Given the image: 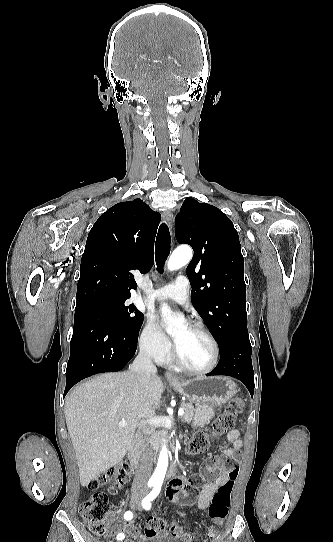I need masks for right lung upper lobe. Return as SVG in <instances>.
<instances>
[{
	"label": "right lung upper lobe",
	"mask_w": 333,
	"mask_h": 542,
	"mask_svg": "<svg viewBox=\"0 0 333 542\" xmlns=\"http://www.w3.org/2000/svg\"><path fill=\"white\" fill-rule=\"evenodd\" d=\"M161 215L141 199L104 212L90 230L81 258L76 305L92 294L127 300L137 284L133 270L154 264V241Z\"/></svg>",
	"instance_id": "cb5924a9"
}]
</instances>
